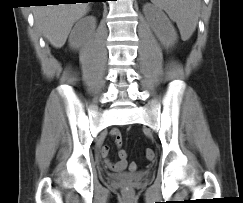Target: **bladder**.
I'll list each match as a JSON object with an SVG mask.
<instances>
[{
    "mask_svg": "<svg viewBox=\"0 0 243 203\" xmlns=\"http://www.w3.org/2000/svg\"><path fill=\"white\" fill-rule=\"evenodd\" d=\"M109 177L113 181H141L150 178L149 171L111 173Z\"/></svg>",
    "mask_w": 243,
    "mask_h": 203,
    "instance_id": "bladder-1",
    "label": "bladder"
}]
</instances>
